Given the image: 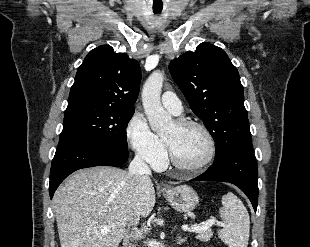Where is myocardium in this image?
I'll return each instance as SVG.
<instances>
[{
  "label": "myocardium",
  "instance_id": "1",
  "mask_svg": "<svg viewBox=\"0 0 310 247\" xmlns=\"http://www.w3.org/2000/svg\"><path fill=\"white\" fill-rule=\"evenodd\" d=\"M175 124L177 125V127L181 129H187V128H192V127L200 129L207 138L208 145H209V151H208L207 157L201 163L197 165H192V166L184 165L176 159L168 142L164 139L167 152H168V157H169L171 164L174 167L180 170L186 171L188 173L201 172L213 162L215 155H216V142H215V139L212 133L209 131V129L204 124L198 121H194V120H178L175 122Z\"/></svg>",
  "mask_w": 310,
  "mask_h": 247
}]
</instances>
